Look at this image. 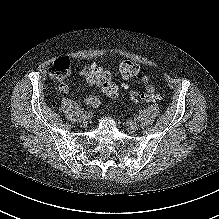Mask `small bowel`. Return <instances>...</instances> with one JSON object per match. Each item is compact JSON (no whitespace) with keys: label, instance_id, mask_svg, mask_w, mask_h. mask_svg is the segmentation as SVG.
I'll use <instances>...</instances> for the list:
<instances>
[{"label":"small bowel","instance_id":"small-bowel-1","mask_svg":"<svg viewBox=\"0 0 219 219\" xmlns=\"http://www.w3.org/2000/svg\"><path fill=\"white\" fill-rule=\"evenodd\" d=\"M93 68H99L96 64H90L85 67H83L79 73V75L85 79L88 85L95 86L96 83V74L92 71ZM101 69V68H100ZM126 79V78H124ZM142 83L146 85L147 91L154 90L153 86L149 84V78L147 76L142 77L141 79ZM60 90L65 93H70V88L66 83H60L59 85ZM85 104H87L90 107H98L101 103V98L98 95H90L83 99Z\"/></svg>","mask_w":219,"mask_h":219}]
</instances>
